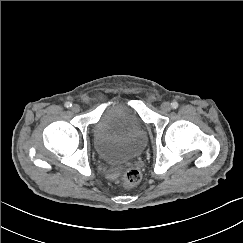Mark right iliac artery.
I'll use <instances>...</instances> for the list:
<instances>
[{"mask_svg":"<svg viewBox=\"0 0 243 243\" xmlns=\"http://www.w3.org/2000/svg\"><path fill=\"white\" fill-rule=\"evenodd\" d=\"M71 106H72V103H70V102H66V103H65V107H66V108H71Z\"/></svg>","mask_w":243,"mask_h":243,"instance_id":"82829eb1","label":"right iliac artery"}]
</instances>
